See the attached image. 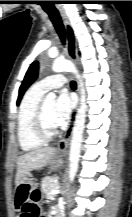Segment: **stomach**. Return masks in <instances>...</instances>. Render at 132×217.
Instances as JSON below:
<instances>
[{"instance_id":"1","label":"stomach","mask_w":132,"mask_h":217,"mask_svg":"<svg viewBox=\"0 0 132 217\" xmlns=\"http://www.w3.org/2000/svg\"><path fill=\"white\" fill-rule=\"evenodd\" d=\"M64 160L60 155L55 156L53 161L54 167H61L63 166ZM27 187L29 191H33L37 187V183L33 180L30 174L26 175L22 182L17 186V188Z\"/></svg>"}]
</instances>
